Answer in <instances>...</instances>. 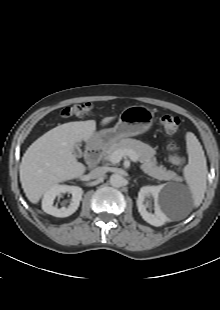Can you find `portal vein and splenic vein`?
<instances>
[{"label":"portal vein and splenic vein","instance_id":"1","mask_svg":"<svg viewBox=\"0 0 220 310\" xmlns=\"http://www.w3.org/2000/svg\"><path fill=\"white\" fill-rule=\"evenodd\" d=\"M124 156H128L130 158L131 161L133 162H137L138 156L136 155V153L132 150H117L114 153H112L111 157H110V161L113 164L119 163L122 159V157Z\"/></svg>","mask_w":220,"mask_h":310}]
</instances>
